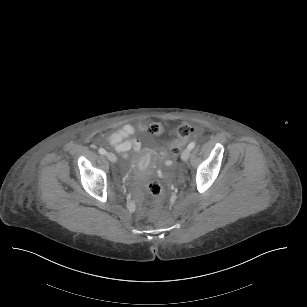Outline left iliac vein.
<instances>
[{
    "instance_id": "left-iliac-vein-1",
    "label": "left iliac vein",
    "mask_w": 307,
    "mask_h": 307,
    "mask_svg": "<svg viewBox=\"0 0 307 307\" xmlns=\"http://www.w3.org/2000/svg\"><path fill=\"white\" fill-rule=\"evenodd\" d=\"M189 157H190V149L187 148V149L183 150V152L181 154V159L183 161H187L189 159Z\"/></svg>"
}]
</instances>
